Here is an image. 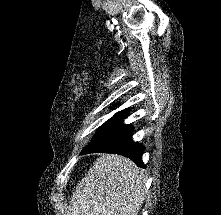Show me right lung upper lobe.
Here are the masks:
<instances>
[{
    "mask_svg": "<svg viewBox=\"0 0 221 215\" xmlns=\"http://www.w3.org/2000/svg\"><path fill=\"white\" fill-rule=\"evenodd\" d=\"M128 112H129V109L122 110V111L116 113L114 117L125 118L128 115Z\"/></svg>",
    "mask_w": 221,
    "mask_h": 215,
    "instance_id": "right-lung-upper-lobe-1",
    "label": "right lung upper lobe"
}]
</instances>
